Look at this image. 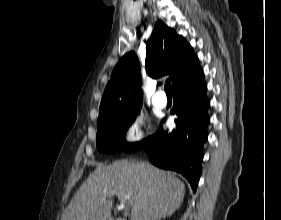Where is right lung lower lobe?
Returning <instances> with one entry per match:
<instances>
[{
	"mask_svg": "<svg viewBox=\"0 0 281 220\" xmlns=\"http://www.w3.org/2000/svg\"><path fill=\"white\" fill-rule=\"evenodd\" d=\"M206 90L203 78L175 89L171 114L178 116L176 130L168 134L160 127L142 145L154 165L181 173L194 192L201 175L203 144L208 136L209 101Z\"/></svg>",
	"mask_w": 281,
	"mask_h": 220,
	"instance_id": "obj_1",
	"label": "right lung lower lobe"
}]
</instances>
